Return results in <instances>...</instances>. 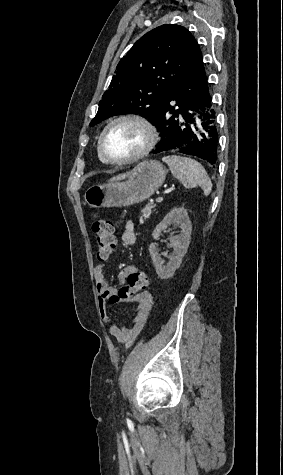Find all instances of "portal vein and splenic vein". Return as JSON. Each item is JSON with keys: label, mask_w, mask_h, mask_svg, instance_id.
Listing matches in <instances>:
<instances>
[{"label": "portal vein and splenic vein", "mask_w": 283, "mask_h": 475, "mask_svg": "<svg viewBox=\"0 0 283 475\" xmlns=\"http://www.w3.org/2000/svg\"><path fill=\"white\" fill-rule=\"evenodd\" d=\"M164 196L160 195L159 198H157L156 202H163Z\"/></svg>", "instance_id": "obj_1"}]
</instances>
